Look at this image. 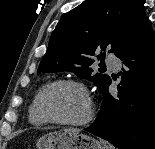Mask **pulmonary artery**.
Listing matches in <instances>:
<instances>
[{
	"instance_id": "obj_1",
	"label": "pulmonary artery",
	"mask_w": 155,
	"mask_h": 149,
	"mask_svg": "<svg viewBox=\"0 0 155 149\" xmlns=\"http://www.w3.org/2000/svg\"><path fill=\"white\" fill-rule=\"evenodd\" d=\"M107 65L112 68V69H118L120 66V61L119 59L115 58V57H109L107 59Z\"/></svg>"
}]
</instances>
